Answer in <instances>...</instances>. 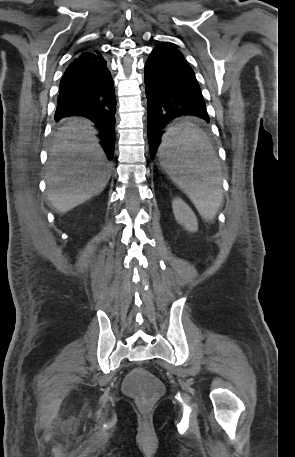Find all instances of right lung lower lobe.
Listing matches in <instances>:
<instances>
[{"mask_svg": "<svg viewBox=\"0 0 295 457\" xmlns=\"http://www.w3.org/2000/svg\"><path fill=\"white\" fill-rule=\"evenodd\" d=\"M116 97L103 52H82L67 67L60 83L55 120L80 115L100 129L101 145L112 160L115 144Z\"/></svg>", "mask_w": 295, "mask_h": 457, "instance_id": "obj_1", "label": "right lung lower lobe"}]
</instances>
